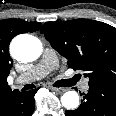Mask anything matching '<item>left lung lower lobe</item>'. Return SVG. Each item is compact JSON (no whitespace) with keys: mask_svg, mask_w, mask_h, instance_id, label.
<instances>
[{"mask_svg":"<svg viewBox=\"0 0 116 116\" xmlns=\"http://www.w3.org/2000/svg\"><path fill=\"white\" fill-rule=\"evenodd\" d=\"M66 116H116V87L90 86L76 110Z\"/></svg>","mask_w":116,"mask_h":116,"instance_id":"0a47b994","label":"left lung lower lobe"}]
</instances>
